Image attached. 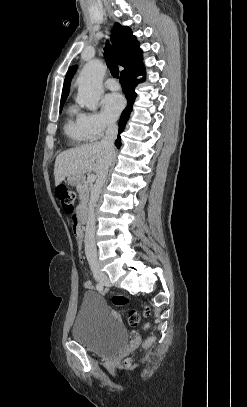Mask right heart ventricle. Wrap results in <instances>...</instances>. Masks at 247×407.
<instances>
[{"label": "right heart ventricle", "instance_id": "right-heart-ventricle-1", "mask_svg": "<svg viewBox=\"0 0 247 407\" xmlns=\"http://www.w3.org/2000/svg\"><path fill=\"white\" fill-rule=\"evenodd\" d=\"M64 132L68 139L77 145L91 140L84 124L83 114L75 106L67 109Z\"/></svg>", "mask_w": 247, "mask_h": 407}]
</instances>
